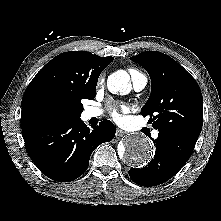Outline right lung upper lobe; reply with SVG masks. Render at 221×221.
<instances>
[{
	"label": "right lung upper lobe",
	"instance_id": "1",
	"mask_svg": "<svg viewBox=\"0 0 221 221\" xmlns=\"http://www.w3.org/2000/svg\"><path fill=\"white\" fill-rule=\"evenodd\" d=\"M113 57L86 51L62 53L49 61L30 82L22 99L21 128L76 118V104L95 97L100 73Z\"/></svg>",
	"mask_w": 221,
	"mask_h": 221
}]
</instances>
